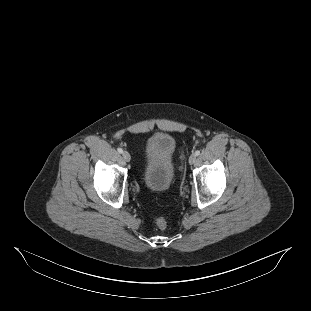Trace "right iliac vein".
<instances>
[{"label": "right iliac vein", "instance_id": "63e3f726", "mask_svg": "<svg viewBox=\"0 0 311 311\" xmlns=\"http://www.w3.org/2000/svg\"><path fill=\"white\" fill-rule=\"evenodd\" d=\"M122 156H123V159H124L126 162H129L130 159H131V156H130V154H129L127 151H124V152L122 153Z\"/></svg>", "mask_w": 311, "mask_h": 311}]
</instances>
